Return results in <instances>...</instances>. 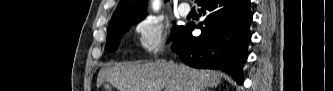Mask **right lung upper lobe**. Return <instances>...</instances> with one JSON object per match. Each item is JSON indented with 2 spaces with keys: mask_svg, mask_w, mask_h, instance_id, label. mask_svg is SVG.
Masks as SVG:
<instances>
[{
  "mask_svg": "<svg viewBox=\"0 0 333 91\" xmlns=\"http://www.w3.org/2000/svg\"><path fill=\"white\" fill-rule=\"evenodd\" d=\"M200 0H196L198 3ZM147 0H121L110 22L146 16Z\"/></svg>",
  "mask_w": 333,
  "mask_h": 91,
  "instance_id": "obj_1",
  "label": "right lung upper lobe"
}]
</instances>
